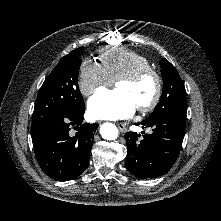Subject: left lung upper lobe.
<instances>
[{"label":"left lung upper lobe","mask_w":221,"mask_h":221,"mask_svg":"<svg viewBox=\"0 0 221 221\" xmlns=\"http://www.w3.org/2000/svg\"><path fill=\"white\" fill-rule=\"evenodd\" d=\"M163 92L154 111L147 119H154L174 110H186L185 86L175 67L165 58L160 61Z\"/></svg>","instance_id":"left-lung-upper-lobe-1"}]
</instances>
